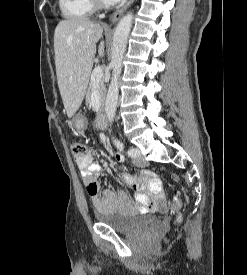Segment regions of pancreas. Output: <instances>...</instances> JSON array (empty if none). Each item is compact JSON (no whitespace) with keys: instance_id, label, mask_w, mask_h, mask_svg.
<instances>
[{"instance_id":"obj_1","label":"pancreas","mask_w":247,"mask_h":275,"mask_svg":"<svg viewBox=\"0 0 247 275\" xmlns=\"http://www.w3.org/2000/svg\"><path fill=\"white\" fill-rule=\"evenodd\" d=\"M94 91H97L99 100H100V105H103L104 100H105L106 89H105L104 81L102 79L98 83L90 81L89 87H88V90L86 93V103L87 104H90L91 96ZM98 116H99V114H98Z\"/></svg>"}]
</instances>
